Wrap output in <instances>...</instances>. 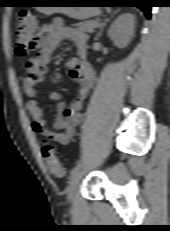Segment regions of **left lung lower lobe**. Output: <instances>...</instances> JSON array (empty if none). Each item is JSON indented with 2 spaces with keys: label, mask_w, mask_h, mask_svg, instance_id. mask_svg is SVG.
Wrapping results in <instances>:
<instances>
[{
  "label": "left lung lower lobe",
  "mask_w": 170,
  "mask_h": 231,
  "mask_svg": "<svg viewBox=\"0 0 170 231\" xmlns=\"http://www.w3.org/2000/svg\"><path fill=\"white\" fill-rule=\"evenodd\" d=\"M99 3L109 4L112 7H138L148 19L151 17V0H99Z\"/></svg>",
  "instance_id": "left-lung-lower-lobe-1"
}]
</instances>
